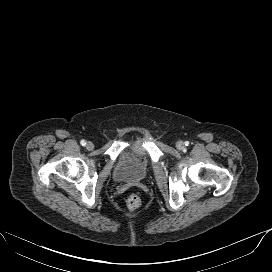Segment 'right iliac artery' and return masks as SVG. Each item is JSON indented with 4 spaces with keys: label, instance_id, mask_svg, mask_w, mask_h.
<instances>
[{
    "label": "right iliac artery",
    "instance_id": "82829eb1",
    "mask_svg": "<svg viewBox=\"0 0 272 272\" xmlns=\"http://www.w3.org/2000/svg\"><path fill=\"white\" fill-rule=\"evenodd\" d=\"M80 144H81L82 146H84V145H86V141H85V140H81V141H80Z\"/></svg>",
    "mask_w": 272,
    "mask_h": 272
}]
</instances>
